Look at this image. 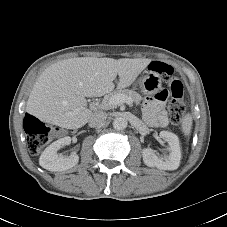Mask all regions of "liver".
<instances>
[{
	"label": "liver",
	"instance_id": "obj_1",
	"mask_svg": "<svg viewBox=\"0 0 227 227\" xmlns=\"http://www.w3.org/2000/svg\"><path fill=\"white\" fill-rule=\"evenodd\" d=\"M147 58L78 57L46 68L35 82L26 111L39 120L66 129L84 126L92 116L85 97H100L134 83L150 64Z\"/></svg>",
	"mask_w": 227,
	"mask_h": 227
}]
</instances>
